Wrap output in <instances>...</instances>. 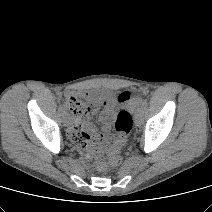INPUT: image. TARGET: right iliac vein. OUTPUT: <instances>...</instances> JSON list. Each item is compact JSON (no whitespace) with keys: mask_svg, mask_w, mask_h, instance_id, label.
I'll list each match as a JSON object with an SVG mask.
<instances>
[{"mask_svg":"<svg viewBox=\"0 0 212 212\" xmlns=\"http://www.w3.org/2000/svg\"><path fill=\"white\" fill-rule=\"evenodd\" d=\"M70 116L67 113H64L63 115V123L65 126H68L70 124Z\"/></svg>","mask_w":212,"mask_h":212,"instance_id":"right-iliac-vein-1","label":"right iliac vein"}]
</instances>
